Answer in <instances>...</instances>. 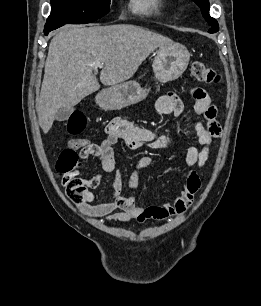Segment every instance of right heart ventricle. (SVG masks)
<instances>
[{
  "instance_id": "e07e8e85",
  "label": "right heart ventricle",
  "mask_w": 261,
  "mask_h": 306,
  "mask_svg": "<svg viewBox=\"0 0 261 306\" xmlns=\"http://www.w3.org/2000/svg\"><path fill=\"white\" fill-rule=\"evenodd\" d=\"M164 5V0H130L129 6L136 14L154 15Z\"/></svg>"
}]
</instances>
